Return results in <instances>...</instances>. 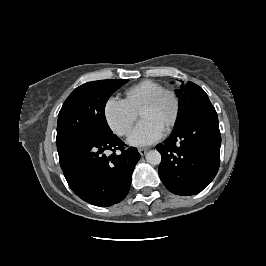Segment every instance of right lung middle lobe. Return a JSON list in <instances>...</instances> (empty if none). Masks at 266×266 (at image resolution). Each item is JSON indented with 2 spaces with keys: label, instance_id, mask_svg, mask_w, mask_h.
<instances>
[{
  "label": "right lung middle lobe",
  "instance_id": "obj_1",
  "mask_svg": "<svg viewBox=\"0 0 266 266\" xmlns=\"http://www.w3.org/2000/svg\"><path fill=\"white\" fill-rule=\"evenodd\" d=\"M127 81L87 82L68 96L58 115V154L74 144L112 132L105 118V105L109 97Z\"/></svg>",
  "mask_w": 266,
  "mask_h": 266
}]
</instances>
